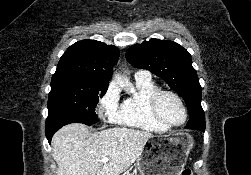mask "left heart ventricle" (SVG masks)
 <instances>
[{
    "instance_id": "1",
    "label": "left heart ventricle",
    "mask_w": 251,
    "mask_h": 175,
    "mask_svg": "<svg viewBox=\"0 0 251 175\" xmlns=\"http://www.w3.org/2000/svg\"><path fill=\"white\" fill-rule=\"evenodd\" d=\"M158 110L161 117L170 125L178 126L182 124L185 119L184 108L173 95H163L159 99Z\"/></svg>"
}]
</instances>
